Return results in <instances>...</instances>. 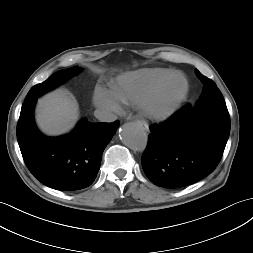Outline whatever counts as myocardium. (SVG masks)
Segmentation results:
<instances>
[{
  "mask_svg": "<svg viewBox=\"0 0 253 253\" xmlns=\"http://www.w3.org/2000/svg\"><path fill=\"white\" fill-rule=\"evenodd\" d=\"M183 82L182 88L173 96L167 97L168 91L177 81ZM189 91V83L182 73H174L156 88H154L141 102L143 114L152 120L163 121L170 118L179 108Z\"/></svg>",
  "mask_w": 253,
  "mask_h": 253,
  "instance_id": "1",
  "label": "myocardium"
}]
</instances>
